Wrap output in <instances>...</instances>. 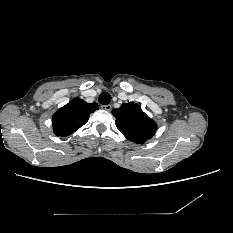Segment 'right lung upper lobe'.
Instances as JSON below:
<instances>
[{
	"label": "right lung upper lobe",
	"mask_w": 233,
	"mask_h": 233,
	"mask_svg": "<svg viewBox=\"0 0 233 233\" xmlns=\"http://www.w3.org/2000/svg\"><path fill=\"white\" fill-rule=\"evenodd\" d=\"M98 108L96 102L89 104L80 98L71 100L53 115L54 133L61 137L72 134L86 124L90 114L98 110Z\"/></svg>",
	"instance_id": "cb5924a9"
}]
</instances>
